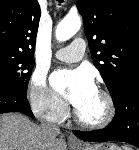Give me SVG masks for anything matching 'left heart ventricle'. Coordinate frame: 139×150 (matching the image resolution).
I'll return each mask as SVG.
<instances>
[{
	"label": "left heart ventricle",
	"mask_w": 139,
	"mask_h": 150,
	"mask_svg": "<svg viewBox=\"0 0 139 150\" xmlns=\"http://www.w3.org/2000/svg\"><path fill=\"white\" fill-rule=\"evenodd\" d=\"M76 108L79 115L89 122L100 121L106 114L105 101L97 91Z\"/></svg>",
	"instance_id": "1"
}]
</instances>
